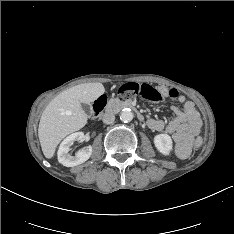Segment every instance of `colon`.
Segmentation results:
<instances>
[{"mask_svg": "<svg viewBox=\"0 0 234 234\" xmlns=\"http://www.w3.org/2000/svg\"><path fill=\"white\" fill-rule=\"evenodd\" d=\"M119 96L121 99H127L132 96H140L148 101H157L162 97V92L148 84L127 83L120 88ZM105 102L106 99L104 96L95 101L93 105L95 115H97L103 109ZM201 143L202 140L197 138L195 143L192 145V148L197 150Z\"/></svg>", "mask_w": 234, "mask_h": 234, "instance_id": "colon-1", "label": "colon"}]
</instances>
